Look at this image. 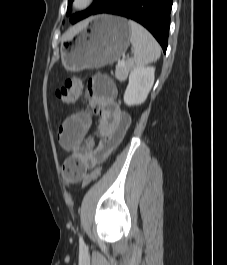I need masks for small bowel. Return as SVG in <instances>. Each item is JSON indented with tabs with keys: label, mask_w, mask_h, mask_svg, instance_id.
<instances>
[{
	"label": "small bowel",
	"mask_w": 227,
	"mask_h": 265,
	"mask_svg": "<svg viewBox=\"0 0 227 265\" xmlns=\"http://www.w3.org/2000/svg\"><path fill=\"white\" fill-rule=\"evenodd\" d=\"M87 93L92 111H80L70 115L58 130L60 146L72 154H79L82 166L69 182L79 181L86 170L104 162L123 140L131 124V117L116 102L117 88L104 74L96 75L88 82ZM93 116L100 118L99 142L86 140Z\"/></svg>",
	"instance_id": "c3829d8e"
}]
</instances>
